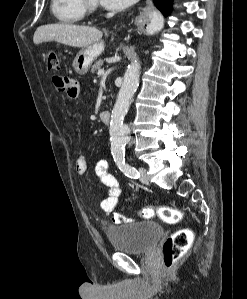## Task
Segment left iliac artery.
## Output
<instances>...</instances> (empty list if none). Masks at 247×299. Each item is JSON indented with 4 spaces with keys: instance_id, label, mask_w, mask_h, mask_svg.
<instances>
[{
    "instance_id": "left-iliac-artery-1",
    "label": "left iliac artery",
    "mask_w": 247,
    "mask_h": 299,
    "mask_svg": "<svg viewBox=\"0 0 247 299\" xmlns=\"http://www.w3.org/2000/svg\"><path fill=\"white\" fill-rule=\"evenodd\" d=\"M114 161L116 162L119 169L124 172V174L130 178L137 179L140 177V173L128 163L125 162V155H117L114 157Z\"/></svg>"
}]
</instances>
